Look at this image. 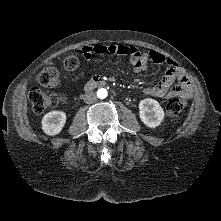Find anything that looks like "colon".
I'll list each match as a JSON object with an SVG mask.
<instances>
[{
    "label": "colon",
    "mask_w": 221,
    "mask_h": 221,
    "mask_svg": "<svg viewBox=\"0 0 221 221\" xmlns=\"http://www.w3.org/2000/svg\"><path fill=\"white\" fill-rule=\"evenodd\" d=\"M79 65V58L69 55L64 58L63 66L67 70H75ZM60 82V72L56 67H46L38 75V83L45 88L56 87ZM29 100L35 113L41 114L56 107L63 98L52 93H47L39 88H32L29 91ZM187 107V102L181 98H172L166 106L170 116L181 115Z\"/></svg>",
    "instance_id": "5ec220e1"
}]
</instances>
